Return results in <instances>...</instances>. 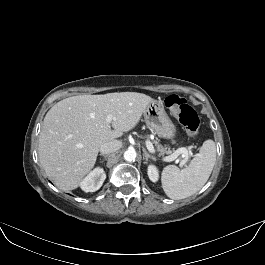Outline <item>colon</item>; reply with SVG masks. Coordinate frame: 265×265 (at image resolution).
<instances>
[{
    "label": "colon",
    "instance_id": "1",
    "mask_svg": "<svg viewBox=\"0 0 265 265\" xmlns=\"http://www.w3.org/2000/svg\"><path fill=\"white\" fill-rule=\"evenodd\" d=\"M165 105L178 119L187 133L195 137L200 127V119L195 109L178 95L168 96L165 99Z\"/></svg>",
    "mask_w": 265,
    "mask_h": 265
}]
</instances>
